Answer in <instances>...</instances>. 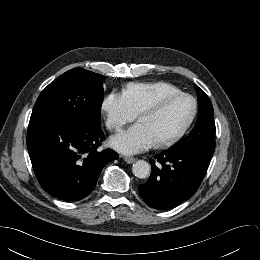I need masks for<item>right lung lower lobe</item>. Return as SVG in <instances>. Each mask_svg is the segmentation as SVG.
I'll use <instances>...</instances> for the list:
<instances>
[{"mask_svg":"<svg viewBox=\"0 0 260 260\" xmlns=\"http://www.w3.org/2000/svg\"><path fill=\"white\" fill-rule=\"evenodd\" d=\"M101 126L74 119L30 120L27 147L41 187L64 201H80L94 189L102 168L117 159L111 149L97 150Z\"/></svg>","mask_w":260,"mask_h":260,"instance_id":"1","label":"right lung lower lobe"}]
</instances>
